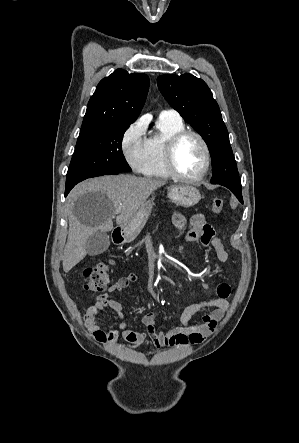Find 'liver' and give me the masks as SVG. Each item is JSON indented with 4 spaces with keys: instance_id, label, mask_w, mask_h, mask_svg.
<instances>
[{
    "instance_id": "6515ba94",
    "label": "liver",
    "mask_w": 299,
    "mask_h": 443,
    "mask_svg": "<svg viewBox=\"0 0 299 443\" xmlns=\"http://www.w3.org/2000/svg\"><path fill=\"white\" fill-rule=\"evenodd\" d=\"M165 181L132 175L103 176L78 184L68 196V239L63 269L69 272L87 254L86 240L113 229L112 218L125 224ZM116 210H120L119 213Z\"/></svg>"
}]
</instances>
